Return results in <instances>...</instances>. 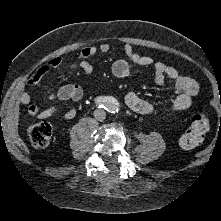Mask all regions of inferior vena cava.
I'll use <instances>...</instances> for the list:
<instances>
[{
  "label": "inferior vena cava",
  "mask_w": 221,
  "mask_h": 221,
  "mask_svg": "<svg viewBox=\"0 0 221 221\" xmlns=\"http://www.w3.org/2000/svg\"><path fill=\"white\" fill-rule=\"evenodd\" d=\"M94 116L97 120L103 121L106 118V113L104 110H96Z\"/></svg>",
  "instance_id": "obj_1"
}]
</instances>
